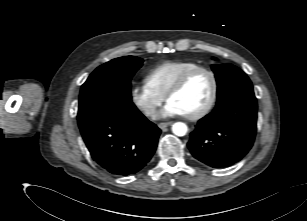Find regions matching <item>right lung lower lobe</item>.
<instances>
[{
  "label": "right lung lower lobe",
  "mask_w": 307,
  "mask_h": 221,
  "mask_svg": "<svg viewBox=\"0 0 307 221\" xmlns=\"http://www.w3.org/2000/svg\"><path fill=\"white\" fill-rule=\"evenodd\" d=\"M80 130L97 164L119 176L134 174L146 166L161 133L137 108L96 117Z\"/></svg>",
  "instance_id": "1"
}]
</instances>
